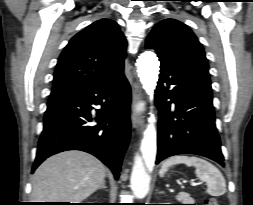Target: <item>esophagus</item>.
I'll return each mask as SVG.
<instances>
[{
  "instance_id": "1",
  "label": "esophagus",
  "mask_w": 253,
  "mask_h": 205,
  "mask_svg": "<svg viewBox=\"0 0 253 205\" xmlns=\"http://www.w3.org/2000/svg\"><path fill=\"white\" fill-rule=\"evenodd\" d=\"M142 102V92L134 87L133 95H132V115L131 122L133 128L142 130L144 123V116L142 115V111L140 109V105Z\"/></svg>"
}]
</instances>
